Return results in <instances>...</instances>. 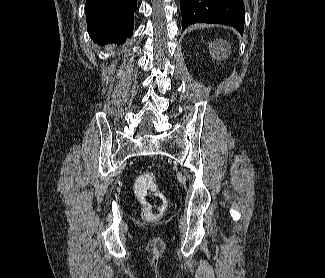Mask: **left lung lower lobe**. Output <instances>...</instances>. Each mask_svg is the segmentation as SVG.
Returning a JSON list of instances; mask_svg holds the SVG:
<instances>
[{
  "label": "left lung lower lobe",
  "instance_id": "0a47b994",
  "mask_svg": "<svg viewBox=\"0 0 325 278\" xmlns=\"http://www.w3.org/2000/svg\"><path fill=\"white\" fill-rule=\"evenodd\" d=\"M182 30L193 23H214L234 27L243 35V0H180Z\"/></svg>",
  "mask_w": 325,
  "mask_h": 278
}]
</instances>
